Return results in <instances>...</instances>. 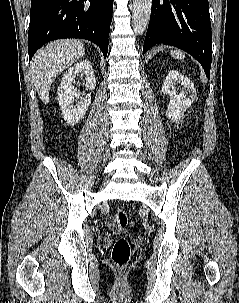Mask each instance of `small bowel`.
I'll list each match as a JSON object with an SVG mask.
<instances>
[{
	"mask_svg": "<svg viewBox=\"0 0 239 303\" xmlns=\"http://www.w3.org/2000/svg\"><path fill=\"white\" fill-rule=\"evenodd\" d=\"M106 224H107V226L110 227V228H113V229L118 228L117 225H116V223H115L112 219H108V220L106 221Z\"/></svg>",
	"mask_w": 239,
	"mask_h": 303,
	"instance_id": "small-bowel-1",
	"label": "small bowel"
}]
</instances>
